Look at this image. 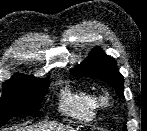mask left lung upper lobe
Wrapping results in <instances>:
<instances>
[{
    "instance_id": "obj_1",
    "label": "left lung upper lobe",
    "mask_w": 147,
    "mask_h": 131,
    "mask_svg": "<svg viewBox=\"0 0 147 131\" xmlns=\"http://www.w3.org/2000/svg\"><path fill=\"white\" fill-rule=\"evenodd\" d=\"M71 73L77 77L101 79L113 86L119 97H124L123 76L117 69L116 61L103 53L101 48L93 49L89 57Z\"/></svg>"
}]
</instances>
